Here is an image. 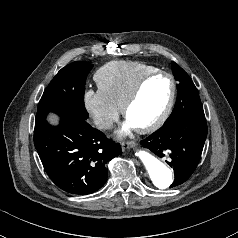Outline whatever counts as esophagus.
<instances>
[{
    "label": "esophagus",
    "mask_w": 238,
    "mask_h": 238,
    "mask_svg": "<svg viewBox=\"0 0 238 238\" xmlns=\"http://www.w3.org/2000/svg\"><path fill=\"white\" fill-rule=\"evenodd\" d=\"M121 145L123 148H127V149L134 147V143L130 141L122 142Z\"/></svg>",
    "instance_id": "esophagus-1"
}]
</instances>
